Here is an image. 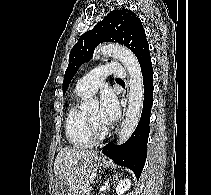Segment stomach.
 I'll return each mask as SVG.
<instances>
[{"mask_svg":"<svg viewBox=\"0 0 211 195\" xmlns=\"http://www.w3.org/2000/svg\"><path fill=\"white\" fill-rule=\"evenodd\" d=\"M99 165L102 166V167H104V168H107L109 166V162L107 160H105L104 158H98V160H97V167ZM54 185H61V186H64L65 187V186H67V183L61 177H56V180H55Z\"/></svg>","mask_w":211,"mask_h":195,"instance_id":"1","label":"stomach"}]
</instances>
